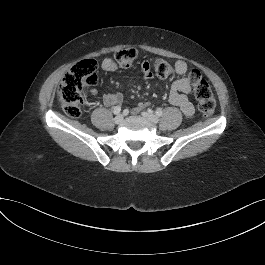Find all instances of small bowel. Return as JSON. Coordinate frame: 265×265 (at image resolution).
<instances>
[{"label": "small bowel", "mask_w": 265, "mask_h": 265, "mask_svg": "<svg viewBox=\"0 0 265 265\" xmlns=\"http://www.w3.org/2000/svg\"><path fill=\"white\" fill-rule=\"evenodd\" d=\"M101 67L105 71L113 72L117 70L118 66L112 61V59L106 58L102 61ZM175 71L178 78L171 84L169 101L171 104L177 106L186 117H191L195 112V108L193 103L189 100V95L192 94V87L189 80L185 77L188 71L187 63L185 61L178 60L175 63ZM141 73L145 80H151L154 76L150 64L146 60L141 64ZM88 94L89 96L94 97L98 94V90L96 88H91L88 91ZM122 101L123 96L120 93H107L103 96V103L108 107L121 104ZM146 107L147 103L141 102L133 109V112L137 113Z\"/></svg>", "instance_id": "small-bowel-1"}]
</instances>
